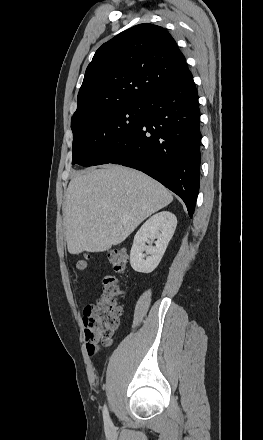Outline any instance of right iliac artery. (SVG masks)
I'll list each match as a JSON object with an SVG mask.
<instances>
[{"label": "right iliac artery", "mask_w": 263, "mask_h": 440, "mask_svg": "<svg viewBox=\"0 0 263 440\" xmlns=\"http://www.w3.org/2000/svg\"><path fill=\"white\" fill-rule=\"evenodd\" d=\"M103 419L107 426L111 425V420L106 405H104V409H103Z\"/></svg>", "instance_id": "obj_1"}]
</instances>
